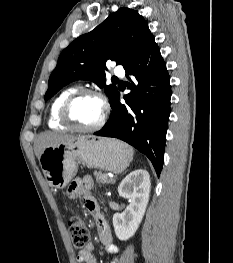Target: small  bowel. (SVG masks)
Listing matches in <instances>:
<instances>
[{
    "label": "small bowel",
    "instance_id": "small-bowel-1",
    "mask_svg": "<svg viewBox=\"0 0 233 263\" xmlns=\"http://www.w3.org/2000/svg\"><path fill=\"white\" fill-rule=\"evenodd\" d=\"M92 184L93 183L90 177L76 179L69 186L68 196L71 198L81 196L83 198L85 209L91 213L96 220L98 237L104 246L105 251L111 254H118L120 249L113 243L109 226L104 217L99 213L98 205L91 193ZM93 249V244L88 243L85 249L77 255V262L97 263ZM111 263H118V260L114 259Z\"/></svg>",
    "mask_w": 233,
    "mask_h": 263
}]
</instances>
